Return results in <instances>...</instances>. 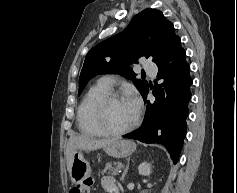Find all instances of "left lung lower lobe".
<instances>
[{
    "mask_svg": "<svg viewBox=\"0 0 237 193\" xmlns=\"http://www.w3.org/2000/svg\"><path fill=\"white\" fill-rule=\"evenodd\" d=\"M157 66V80L162 79L163 83L153 87L148 85L145 89L142 97L147 104V112L143 124L123 137L162 144L176 164L186 135L187 105L191 98L192 84L190 67L180 39L169 48ZM150 90L156 97L154 102L147 101Z\"/></svg>",
    "mask_w": 237,
    "mask_h": 193,
    "instance_id": "0a47b994",
    "label": "left lung lower lobe"
}]
</instances>
